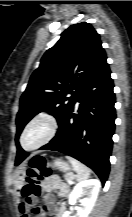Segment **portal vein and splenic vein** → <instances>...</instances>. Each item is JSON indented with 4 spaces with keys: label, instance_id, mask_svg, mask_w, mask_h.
<instances>
[{
    "label": "portal vein and splenic vein",
    "instance_id": "obj_1",
    "mask_svg": "<svg viewBox=\"0 0 132 217\" xmlns=\"http://www.w3.org/2000/svg\"><path fill=\"white\" fill-rule=\"evenodd\" d=\"M68 182H69V184H72V181H71V180H69Z\"/></svg>",
    "mask_w": 132,
    "mask_h": 217
}]
</instances>
